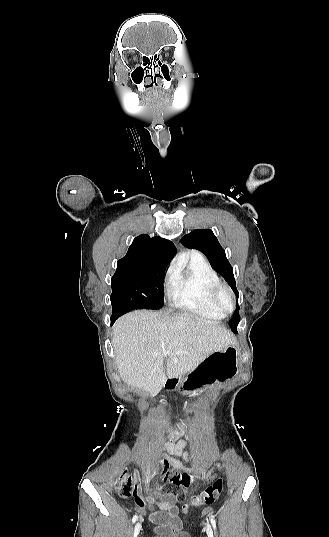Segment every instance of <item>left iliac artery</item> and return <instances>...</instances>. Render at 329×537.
Returning <instances> with one entry per match:
<instances>
[{
	"instance_id": "left-iliac-artery-1",
	"label": "left iliac artery",
	"mask_w": 329,
	"mask_h": 537,
	"mask_svg": "<svg viewBox=\"0 0 329 537\" xmlns=\"http://www.w3.org/2000/svg\"><path fill=\"white\" fill-rule=\"evenodd\" d=\"M210 521H211V524H212V526H213V528H214V530L216 532V521H215L213 516L210 517Z\"/></svg>"
}]
</instances>
